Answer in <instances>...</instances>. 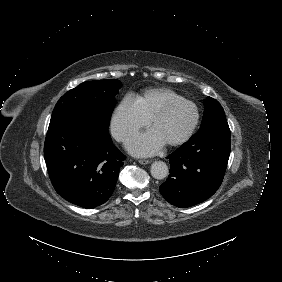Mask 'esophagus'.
Segmentation results:
<instances>
[{
    "label": "esophagus",
    "mask_w": 282,
    "mask_h": 282,
    "mask_svg": "<svg viewBox=\"0 0 282 282\" xmlns=\"http://www.w3.org/2000/svg\"><path fill=\"white\" fill-rule=\"evenodd\" d=\"M138 162H139L140 164H142V165H146V164L151 163L150 160H142V159L138 160Z\"/></svg>",
    "instance_id": "obj_1"
}]
</instances>
